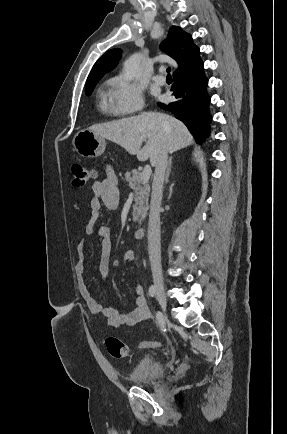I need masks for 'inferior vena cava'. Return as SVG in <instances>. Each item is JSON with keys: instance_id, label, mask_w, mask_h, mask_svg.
Instances as JSON below:
<instances>
[{"instance_id": "602c4592", "label": "inferior vena cava", "mask_w": 287, "mask_h": 434, "mask_svg": "<svg viewBox=\"0 0 287 434\" xmlns=\"http://www.w3.org/2000/svg\"><path fill=\"white\" fill-rule=\"evenodd\" d=\"M168 165V150L163 145L155 163V173L152 184L151 205L148 224V253L154 282L162 283L161 243H160V205Z\"/></svg>"}]
</instances>
